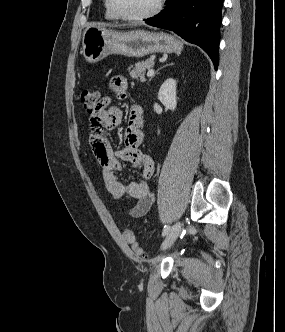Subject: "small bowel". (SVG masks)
<instances>
[{
    "label": "small bowel",
    "mask_w": 285,
    "mask_h": 332,
    "mask_svg": "<svg viewBox=\"0 0 285 332\" xmlns=\"http://www.w3.org/2000/svg\"><path fill=\"white\" fill-rule=\"evenodd\" d=\"M111 90L124 97L128 90V82L123 76H115L110 82ZM122 111L115 107V100L110 96H99L98 103L90 111L92 150L101 164L102 178L108 193L114 199L129 198L136 204L129 210L134 218L145 215L153 204V194L149 184L155 172L153 158L141 150L144 141L142 118L137 109L131 111L129 126L124 133V145L114 149L102 130L113 129L122 121ZM121 161L129 162L140 172V181L124 182L118 172L122 169Z\"/></svg>",
    "instance_id": "small-bowel-1"
}]
</instances>
